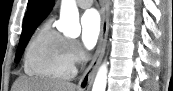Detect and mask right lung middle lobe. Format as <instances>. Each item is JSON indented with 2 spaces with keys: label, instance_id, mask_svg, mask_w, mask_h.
<instances>
[{
  "label": "right lung middle lobe",
  "instance_id": "dd1d6c3e",
  "mask_svg": "<svg viewBox=\"0 0 173 91\" xmlns=\"http://www.w3.org/2000/svg\"><path fill=\"white\" fill-rule=\"evenodd\" d=\"M36 29V28H35ZM31 30L29 32H26V33H22L21 34V37H20V42H19V45H18V49H17V52H16V57H15V62H19L20 58H21V55L24 51V48L26 47L31 35L33 34L34 30Z\"/></svg>",
  "mask_w": 173,
  "mask_h": 91
}]
</instances>
